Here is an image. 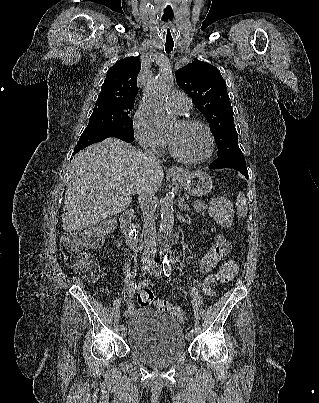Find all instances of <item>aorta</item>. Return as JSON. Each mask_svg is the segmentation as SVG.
I'll use <instances>...</instances> for the list:
<instances>
[{
  "instance_id": "aorta-1",
  "label": "aorta",
  "mask_w": 319,
  "mask_h": 403,
  "mask_svg": "<svg viewBox=\"0 0 319 403\" xmlns=\"http://www.w3.org/2000/svg\"><path fill=\"white\" fill-rule=\"evenodd\" d=\"M173 82L171 71L163 70L147 84L145 89V110L149 119L159 128L164 127L170 119L167 112V98ZM173 204L174 194L169 193L161 200L160 228L167 234L172 232L174 226Z\"/></svg>"
}]
</instances>
